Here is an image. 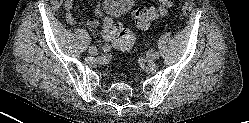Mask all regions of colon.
Instances as JSON below:
<instances>
[{
    "label": "colon",
    "mask_w": 249,
    "mask_h": 123,
    "mask_svg": "<svg viewBox=\"0 0 249 123\" xmlns=\"http://www.w3.org/2000/svg\"><path fill=\"white\" fill-rule=\"evenodd\" d=\"M173 2L174 0H159L157 7L138 8L132 13V21L136 27L145 30L153 21L165 16ZM103 36L108 39L116 49L124 52L131 50L134 44L133 34L112 20H105Z\"/></svg>",
    "instance_id": "obj_1"
}]
</instances>
